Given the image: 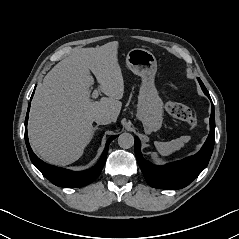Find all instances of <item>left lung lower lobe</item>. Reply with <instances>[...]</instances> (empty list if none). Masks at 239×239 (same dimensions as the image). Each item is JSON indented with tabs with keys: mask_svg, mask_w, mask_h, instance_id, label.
Here are the masks:
<instances>
[{
	"mask_svg": "<svg viewBox=\"0 0 239 239\" xmlns=\"http://www.w3.org/2000/svg\"><path fill=\"white\" fill-rule=\"evenodd\" d=\"M201 88L211 100L205 86L201 85ZM214 142L215 118L214 105L211 103L210 133L201 150L194 156L165 166H156L143 158L138 137H135L134 150L138 164L150 186L160 189H181L189 185L205 169L212 155Z\"/></svg>",
	"mask_w": 239,
	"mask_h": 239,
	"instance_id": "obj_1",
	"label": "left lung lower lobe"
}]
</instances>
